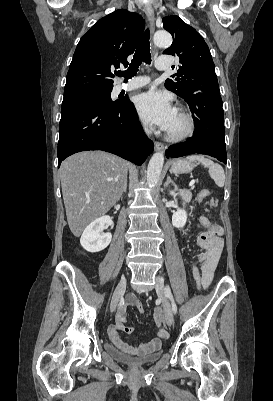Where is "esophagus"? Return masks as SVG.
I'll return each instance as SVG.
<instances>
[{
  "instance_id": "1",
  "label": "esophagus",
  "mask_w": 273,
  "mask_h": 401,
  "mask_svg": "<svg viewBox=\"0 0 273 401\" xmlns=\"http://www.w3.org/2000/svg\"><path fill=\"white\" fill-rule=\"evenodd\" d=\"M145 14L147 16V18L150 21V26H151V40H152V36L154 33V29H155V24H154V11L151 5H146L144 8ZM152 49L155 50V47L152 45ZM155 150L157 151H163L164 150V145L163 143L160 142H155L154 144Z\"/></svg>"
}]
</instances>
